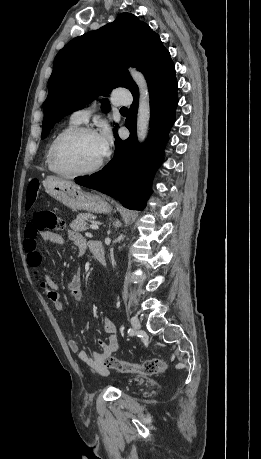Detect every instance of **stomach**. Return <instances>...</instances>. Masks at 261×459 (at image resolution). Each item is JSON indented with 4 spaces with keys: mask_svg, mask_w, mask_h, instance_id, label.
<instances>
[{
    "mask_svg": "<svg viewBox=\"0 0 261 459\" xmlns=\"http://www.w3.org/2000/svg\"><path fill=\"white\" fill-rule=\"evenodd\" d=\"M43 184L47 193L73 211L108 213L112 207L104 196L83 191L71 181L48 176Z\"/></svg>",
    "mask_w": 261,
    "mask_h": 459,
    "instance_id": "0dacf381",
    "label": "stomach"
}]
</instances>
